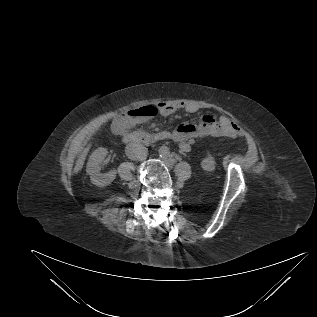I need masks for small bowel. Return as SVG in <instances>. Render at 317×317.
<instances>
[{
  "label": "small bowel",
  "mask_w": 317,
  "mask_h": 317,
  "mask_svg": "<svg viewBox=\"0 0 317 317\" xmlns=\"http://www.w3.org/2000/svg\"><path fill=\"white\" fill-rule=\"evenodd\" d=\"M162 116H169L176 111L184 110L188 113H196L199 106L193 101H161L157 104ZM136 124V121L129 117H123L118 121L120 130L125 131ZM239 127L226 117L221 116L218 120L211 114L202 115L199 123H182L173 131V139L179 144L182 152L191 150L192 139L203 136H236Z\"/></svg>",
  "instance_id": "small-bowel-1"
}]
</instances>
